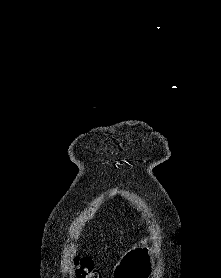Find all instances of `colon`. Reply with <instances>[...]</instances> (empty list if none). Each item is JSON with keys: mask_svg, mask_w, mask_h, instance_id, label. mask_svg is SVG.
I'll return each mask as SVG.
<instances>
[{"mask_svg": "<svg viewBox=\"0 0 221 278\" xmlns=\"http://www.w3.org/2000/svg\"><path fill=\"white\" fill-rule=\"evenodd\" d=\"M74 269L77 278H103L101 272L94 267L90 258H76L74 260Z\"/></svg>", "mask_w": 221, "mask_h": 278, "instance_id": "colon-1", "label": "colon"}]
</instances>
